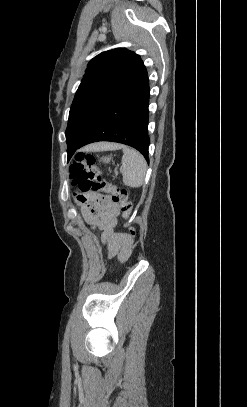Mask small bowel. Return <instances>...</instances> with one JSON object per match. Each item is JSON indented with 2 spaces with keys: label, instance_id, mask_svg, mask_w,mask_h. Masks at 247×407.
I'll return each instance as SVG.
<instances>
[{
  "label": "small bowel",
  "instance_id": "obj_1",
  "mask_svg": "<svg viewBox=\"0 0 247 407\" xmlns=\"http://www.w3.org/2000/svg\"><path fill=\"white\" fill-rule=\"evenodd\" d=\"M86 222L94 230H100L101 241L106 245L108 257H118L125 261L130 252L133 239L125 233H117L114 228L120 215L119 206L108 197L89 196L82 208Z\"/></svg>",
  "mask_w": 247,
  "mask_h": 407
}]
</instances>
